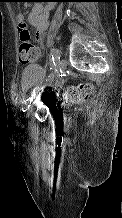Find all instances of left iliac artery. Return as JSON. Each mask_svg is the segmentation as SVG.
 <instances>
[{
    "label": "left iliac artery",
    "mask_w": 122,
    "mask_h": 218,
    "mask_svg": "<svg viewBox=\"0 0 122 218\" xmlns=\"http://www.w3.org/2000/svg\"><path fill=\"white\" fill-rule=\"evenodd\" d=\"M51 58H52V63L54 66H56L59 63L60 60V52L57 48H52L51 52H50ZM54 74L53 72H51L49 74V76L47 77V79L45 80L43 86L40 88V91H43L47 86L50 85L51 80L53 79ZM33 101V96L28 98L25 102L24 105L22 106V111L25 112L27 110V108L29 107V105L32 103Z\"/></svg>",
    "instance_id": "left-iliac-artery-1"
}]
</instances>
